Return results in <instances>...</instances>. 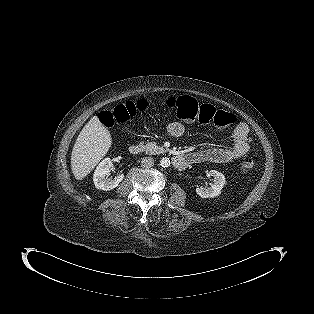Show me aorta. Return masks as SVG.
<instances>
[{
    "label": "aorta",
    "mask_w": 314,
    "mask_h": 314,
    "mask_svg": "<svg viewBox=\"0 0 314 314\" xmlns=\"http://www.w3.org/2000/svg\"><path fill=\"white\" fill-rule=\"evenodd\" d=\"M160 165L162 166V167H169L170 166V160H169V158H167V157H163L161 160H160Z\"/></svg>",
    "instance_id": "1"
}]
</instances>
